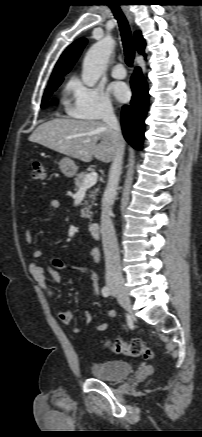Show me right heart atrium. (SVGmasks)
Returning <instances> with one entry per match:
<instances>
[{
  "label": "right heart atrium",
  "instance_id": "right-heart-atrium-1",
  "mask_svg": "<svg viewBox=\"0 0 202 437\" xmlns=\"http://www.w3.org/2000/svg\"><path fill=\"white\" fill-rule=\"evenodd\" d=\"M69 90L67 112L72 117L100 120L113 115L112 101L103 88L87 86L79 80H73Z\"/></svg>",
  "mask_w": 202,
  "mask_h": 437
}]
</instances>
